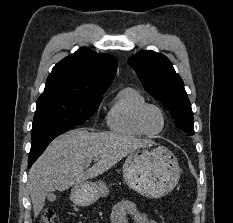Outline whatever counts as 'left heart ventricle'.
<instances>
[{"label": "left heart ventricle", "mask_w": 233, "mask_h": 223, "mask_svg": "<svg viewBox=\"0 0 233 223\" xmlns=\"http://www.w3.org/2000/svg\"><path fill=\"white\" fill-rule=\"evenodd\" d=\"M145 124L151 133H159L164 127L162 113L156 108H150L145 113Z\"/></svg>", "instance_id": "obj_1"}]
</instances>
